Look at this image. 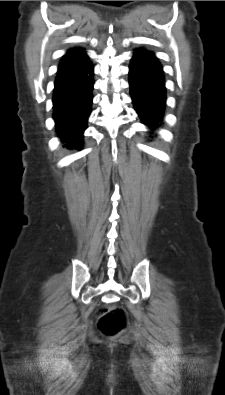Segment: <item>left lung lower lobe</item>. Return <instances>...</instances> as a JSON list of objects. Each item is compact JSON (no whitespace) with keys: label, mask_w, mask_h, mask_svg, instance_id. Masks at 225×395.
I'll return each instance as SVG.
<instances>
[{"label":"left lung lower lobe","mask_w":225,"mask_h":395,"mask_svg":"<svg viewBox=\"0 0 225 395\" xmlns=\"http://www.w3.org/2000/svg\"><path fill=\"white\" fill-rule=\"evenodd\" d=\"M129 86L134 109L153 132L163 119L166 106L165 76L155 56L134 55L129 66Z\"/></svg>","instance_id":"1"}]
</instances>
